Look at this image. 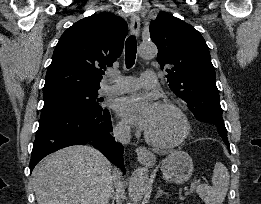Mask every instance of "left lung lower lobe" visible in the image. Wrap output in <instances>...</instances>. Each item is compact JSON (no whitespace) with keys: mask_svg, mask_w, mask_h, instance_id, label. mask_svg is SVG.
I'll return each mask as SVG.
<instances>
[{"mask_svg":"<svg viewBox=\"0 0 261 204\" xmlns=\"http://www.w3.org/2000/svg\"><path fill=\"white\" fill-rule=\"evenodd\" d=\"M222 139H223L224 143L229 147V142L227 140V137H223Z\"/></svg>","mask_w":261,"mask_h":204,"instance_id":"1","label":"left lung lower lobe"}]
</instances>
